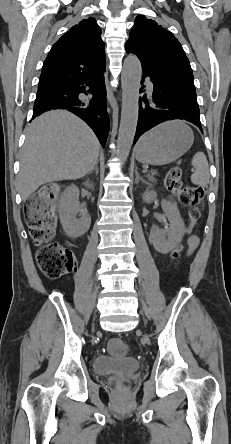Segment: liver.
Returning <instances> with one entry per match:
<instances>
[{"label": "liver", "instance_id": "obj_1", "mask_svg": "<svg viewBox=\"0 0 231 444\" xmlns=\"http://www.w3.org/2000/svg\"><path fill=\"white\" fill-rule=\"evenodd\" d=\"M100 143L85 122L66 110L37 117L20 152L18 188L26 200L41 185L84 177L96 165Z\"/></svg>", "mask_w": 231, "mask_h": 444}]
</instances>
